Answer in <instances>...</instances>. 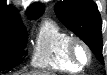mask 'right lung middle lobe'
<instances>
[{"instance_id": "dd1d6c3e", "label": "right lung middle lobe", "mask_w": 107, "mask_h": 75, "mask_svg": "<svg viewBox=\"0 0 107 75\" xmlns=\"http://www.w3.org/2000/svg\"><path fill=\"white\" fill-rule=\"evenodd\" d=\"M27 32L22 24H10L0 30V71L16 67L27 53Z\"/></svg>"}]
</instances>
